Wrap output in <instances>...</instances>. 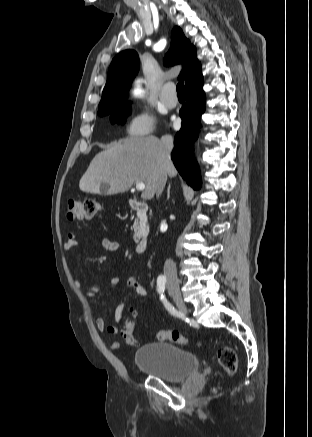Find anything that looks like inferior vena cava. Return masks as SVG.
I'll use <instances>...</instances> for the list:
<instances>
[{"label":"inferior vena cava","mask_w":312,"mask_h":437,"mask_svg":"<svg viewBox=\"0 0 312 437\" xmlns=\"http://www.w3.org/2000/svg\"><path fill=\"white\" fill-rule=\"evenodd\" d=\"M161 143H162L163 155L166 157H170V153L174 146L172 136L170 135L162 136ZM166 180L167 177L165 175H161L159 177L156 187L157 197H159L162 194ZM164 271L168 274H176V264L171 259H167L164 264Z\"/></svg>","instance_id":"obj_1"}]
</instances>
